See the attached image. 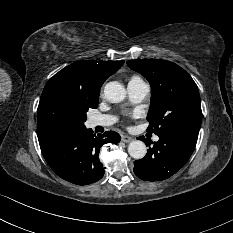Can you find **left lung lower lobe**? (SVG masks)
I'll list each match as a JSON object with an SVG mask.
<instances>
[{"label":"left lung lower lobe","mask_w":233,"mask_h":233,"mask_svg":"<svg viewBox=\"0 0 233 233\" xmlns=\"http://www.w3.org/2000/svg\"><path fill=\"white\" fill-rule=\"evenodd\" d=\"M201 124L188 123L159 136L147 154L134 162V173L145 181H162L175 174L190 158L197 142Z\"/></svg>","instance_id":"0a47b994"}]
</instances>
